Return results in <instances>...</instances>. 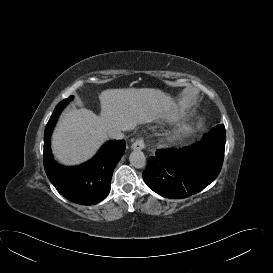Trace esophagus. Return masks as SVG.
<instances>
[{
	"label": "esophagus",
	"mask_w": 273,
	"mask_h": 273,
	"mask_svg": "<svg viewBox=\"0 0 273 273\" xmlns=\"http://www.w3.org/2000/svg\"><path fill=\"white\" fill-rule=\"evenodd\" d=\"M144 147H145L144 139L139 138L132 144L131 149L140 151V150L144 149Z\"/></svg>",
	"instance_id": "1"
}]
</instances>
